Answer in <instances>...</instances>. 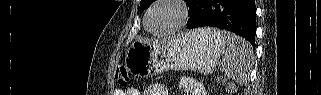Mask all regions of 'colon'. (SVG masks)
Masks as SVG:
<instances>
[{
	"label": "colon",
	"mask_w": 321,
	"mask_h": 95,
	"mask_svg": "<svg viewBox=\"0 0 321 95\" xmlns=\"http://www.w3.org/2000/svg\"><path fill=\"white\" fill-rule=\"evenodd\" d=\"M116 79L122 88H126L130 82L128 71L122 66L117 67Z\"/></svg>",
	"instance_id": "1"
}]
</instances>
